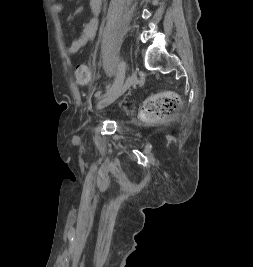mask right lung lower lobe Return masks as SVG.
<instances>
[{
	"instance_id": "obj_1",
	"label": "right lung lower lobe",
	"mask_w": 253,
	"mask_h": 267,
	"mask_svg": "<svg viewBox=\"0 0 253 267\" xmlns=\"http://www.w3.org/2000/svg\"><path fill=\"white\" fill-rule=\"evenodd\" d=\"M157 213H158V210H148V211H146L147 217H153Z\"/></svg>"
}]
</instances>
